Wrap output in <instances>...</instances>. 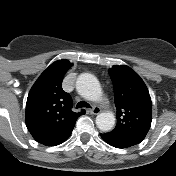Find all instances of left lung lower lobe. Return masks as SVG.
<instances>
[{
  "label": "left lung lower lobe",
  "mask_w": 176,
  "mask_h": 176,
  "mask_svg": "<svg viewBox=\"0 0 176 176\" xmlns=\"http://www.w3.org/2000/svg\"><path fill=\"white\" fill-rule=\"evenodd\" d=\"M101 137L110 145L117 148H126L134 144L127 142L126 140L118 137L117 135L110 133L101 134Z\"/></svg>",
  "instance_id": "obj_1"
}]
</instances>
